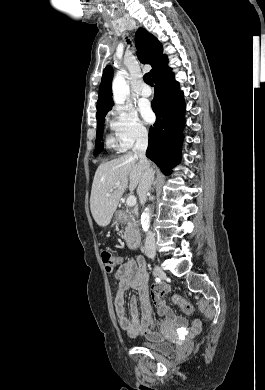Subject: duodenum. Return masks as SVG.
I'll use <instances>...</instances> for the list:
<instances>
[{
	"label": "duodenum",
	"mask_w": 265,
	"mask_h": 390,
	"mask_svg": "<svg viewBox=\"0 0 265 390\" xmlns=\"http://www.w3.org/2000/svg\"><path fill=\"white\" fill-rule=\"evenodd\" d=\"M128 220V215L127 213L123 212V211H120L116 214V221L117 222H126ZM140 246V237L139 235L132 231L128 234V237H127V247L129 249H137L139 248Z\"/></svg>",
	"instance_id": "410a0bca"
}]
</instances>
